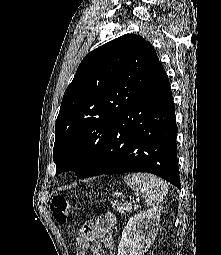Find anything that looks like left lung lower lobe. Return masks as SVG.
<instances>
[{
	"instance_id": "left-lung-lower-lobe-1",
	"label": "left lung lower lobe",
	"mask_w": 221,
	"mask_h": 255,
	"mask_svg": "<svg viewBox=\"0 0 221 255\" xmlns=\"http://www.w3.org/2000/svg\"><path fill=\"white\" fill-rule=\"evenodd\" d=\"M177 126L164 71L115 121L107 143L81 178L148 172L180 189Z\"/></svg>"
}]
</instances>
